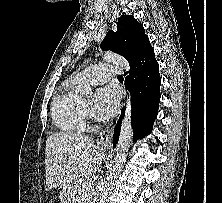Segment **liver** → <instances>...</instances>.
Here are the masks:
<instances>
[{
    "mask_svg": "<svg viewBox=\"0 0 222 203\" xmlns=\"http://www.w3.org/2000/svg\"><path fill=\"white\" fill-rule=\"evenodd\" d=\"M101 150L93 138L79 134L55 133L46 140L45 177L48 190L60 186V194L72 196L78 179L92 180L102 163Z\"/></svg>",
    "mask_w": 222,
    "mask_h": 203,
    "instance_id": "liver-1",
    "label": "liver"
}]
</instances>
